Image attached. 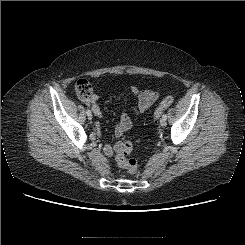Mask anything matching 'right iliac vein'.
Masks as SVG:
<instances>
[{
    "instance_id": "obj_1",
    "label": "right iliac vein",
    "mask_w": 245,
    "mask_h": 245,
    "mask_svg": "<svg viewBox=\"0 0 245 245\" xmlns=\"http://www.w3.org/2000/svg\"><path fill=\"white\" fill-rule=\"evenodd\" d=\"M88 119L91 120L92 119V114L88 115Z\"/></svg>"
}]
</instances>
